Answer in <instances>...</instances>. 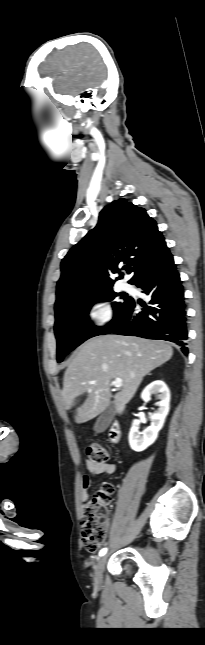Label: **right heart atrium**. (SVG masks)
Segmentation results:
<instances>
[{"label":"right heart atrium","instance_id":"right-heart-atrium-1","mask_svg":"<svg viewBox=\"0 0 205 645\" xmlns=\"http://www.w3.org/2000/svg\"><path fill=\"white\" fill-rule=\"evenodd\" d=\"M86 316L95 329H102L112 322L114 309L109 300L104 297H96L88 303Z\"/></svg>","mask_w":205,"mask_h":645}]
</instances>
